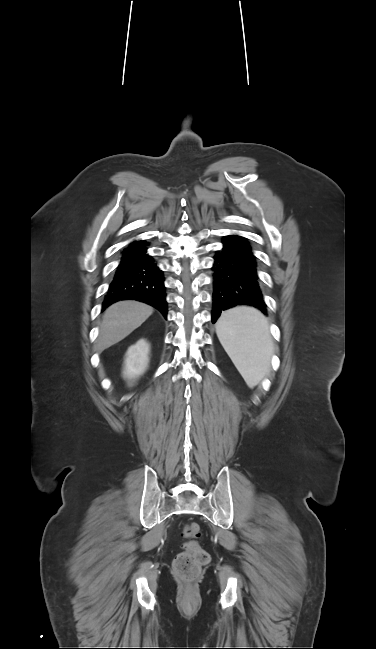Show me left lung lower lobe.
Wrapping results in <instances>:
<instances>
[{"label": "left lung lower lobe", "mask_w": 376, "mask_h": 649, "mask_svg": "<svg viewBox=\"0 0 376 649\" xmlns=\"http://www.w3.org/2000/svg\"><path fill=\"white\" fill-rule=\"evenodd\" d=\"M214 259L212 323L223 310L241 304L253 306L266 314L267 306L256 272L257 262L248 242L238 235L225 236L223 249Z\"/></svg>", "instance_id": "obj_1"}]
</instances>
